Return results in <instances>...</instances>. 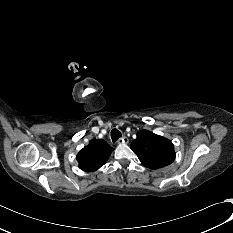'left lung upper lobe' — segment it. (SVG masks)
I'll use <instances>...</instances> for the list:
<instances>
[{"label":"left lung upper lobe","instance_id":"left-lung-upper-lobe-1","mask_svg":"<svg viewBox=\"0 0 233 233\" xmlns=\"http://www.w3.org/2000/svg\"><path fill=\"white\" fill-rule=\"evenodd\" d=\"M131 149L141 163L150 169H159L171 164L175 159L173 143L148 130H141L132 142Z\"/></svg>","mask_w":233,"mask_h":233}]
</instances>
